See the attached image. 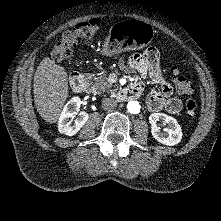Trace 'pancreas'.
Listing matches in <instances>:
<instances>
[{
	"label": "pancreas",
	"instance_id": "obj_1",
	"mask_svg": "<svg viewBox=\"0 0 221 221\" xmlns=\"http://www.w3.org/2000/svg\"><path fill=\"white\" fill-rule=\"evenodd\" d=\"M88 78L93 79L95 81L94 86H93V90L97 94H101L106 91H110L111 88L113 87V84L111 82H109L108 78L106 77L105 72L98 74L97 76H95L94 74H89Z\"/></svg>",
	"mask_w": 221,
	"mask_h": 221
}]
</instances>
